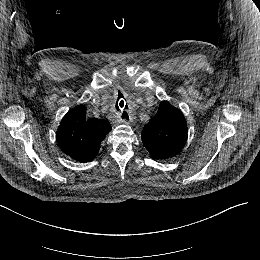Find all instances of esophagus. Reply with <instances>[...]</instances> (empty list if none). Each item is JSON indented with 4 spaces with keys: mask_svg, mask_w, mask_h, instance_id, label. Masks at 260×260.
<instances>
[{
    "mask_svg": "<svg viewBox=\"0 0 260 260\" xmlns=\"http://www.w3.org/2000/svg\"><path fill=\"white\" fill-rule=\"evenodd\" d=\"M118 121H119V122L122 121L123 123H129V122H131V121H129L128 119H118Z\"/></svg>",
    "mask_w": 260,
    "mask_h": 260,
    "instance_id": "1",
    "label": "esophagus"
}]
</instances>
